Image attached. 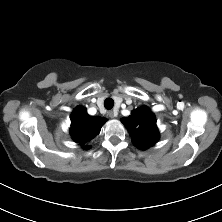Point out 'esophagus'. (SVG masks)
Listing matches in <instances>:
<instances>
[{"label": "esophagus", "instance_id": "34e87169", "mask_svg": "<svg viewBox=\"0 0 222 222\" xmlns=\"http://www.w3.org/2000/svg\"><path fill=\"white\" fill-rule=\"evenodd\" d=\"M108 116L110 118H115L117 115H116V113L114 111H108Z\"/></svg>", "mask_w": 222, "mask_h": 222}]
</instances>
